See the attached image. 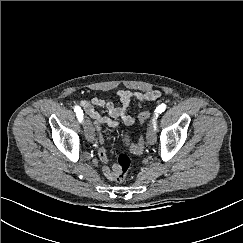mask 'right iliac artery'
Here are the masks:
<instances>
[{
	"label": "right iliac artery",
	"mask_w": 243,
	"mask_h": 243,
	"mask_svg": "<svg viewBox=\"0 0 243 243\" xmlns=\"http://www.w3.org/2000/svg\"><path fill=\"white\" fill-rule=\"evenodd\" d=\"M74 111L77 115L78 120L81 122L83 120V112L79 106H75Z\"/></svg>",
	"instance_id": "82829eb1"
}]
</instances>
